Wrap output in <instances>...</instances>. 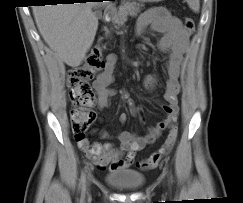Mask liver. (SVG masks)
<instances>
[{"mask_svg":"<svg viewBox=\"0 0 243 203\" xmlns=\"http://www.w3.org/2000/svg\"><path fill=\"white\" fill-rule=\"evenodd\" d=\"M108 2L41 5L33 8L38 30L48 46L70 67H78L93 44L98 19L94 6Z\"/></svg>","mask_w":243,"mask_h":203,"instance_id":"liver-1","label":"liver"}]
</instances>
